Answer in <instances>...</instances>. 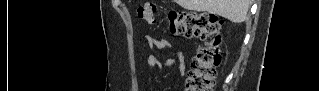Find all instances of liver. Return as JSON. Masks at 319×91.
Instances as JSON below:
<instances>
[{"instance_id": "1", "label": "liver", "mask_w": 319, "mask_h": 91, "mask_svg": "<svg viewBox=\"0 0 319 91\" xmlns=\"http://www.w3.org/2000/svg\"><path fill=\"white\" fill-rule=\"evenodd\" d=\"M187 10L219 15L233 23H240L247 17L250 0H176Z\"/></svg>"}]
</instances>
